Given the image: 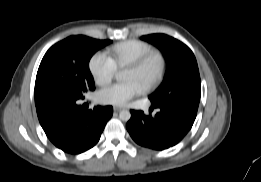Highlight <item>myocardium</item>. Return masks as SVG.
<instances>
[{
    "label": "myocardium",
    "mask_w": 261,
    "mask_h": 182,
    "mask_svg": "<svg viewBox=\"0 0 261 182\" xmlns=\"http://www.w3.org/2000/svg\"><path fill=\"white\" fill-rule=\"evenodd\" d=\"M152 59L158 60L159 67L156 75L143 87L144 91L155 87L164 77L167 65L164 55L159 51L152 50L125 67L129 70H140Z\"/></svg>",
    "instance_id": "myocardium-1"
}]
</instances>
